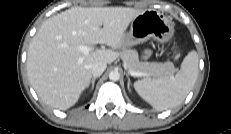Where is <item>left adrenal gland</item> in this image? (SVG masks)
<instances>
[{
    "label": "left adrenal gland",
    "instance_id": "obj_1",
    "mask_svg": "<svg viewBox=\"0 0 231 134\" xmlns=\"http://www.w3.org/2000/svg\"><path fill=\"white\" fill-rule=\"evenodd\" d=\"M126 77L128 79L127 87H128V90L130 91V83H131V81H130V77H129V75L127 73H126Z\"/></svg>",
    "mask_w": 231,
    "mask_h": 134
}]
</instances>
